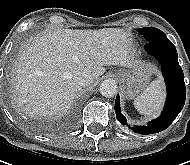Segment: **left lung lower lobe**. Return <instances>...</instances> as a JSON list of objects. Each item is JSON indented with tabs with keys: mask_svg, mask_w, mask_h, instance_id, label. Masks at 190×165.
Returning <instances> with one entry per match:
<instances>
[{
	"mask_svg": "<svg viewBox=\"0 0 190 165\" xmlns=\"http://www.w3.org/2000/svg\"><path fill=\"white\" fill-rule=\"evenodd\" d=\"M148 54L154 56L159 64L167 87V99L161 115L145 126H135L133 131L139 134L158 133L168 128L182 110L185 98L184 74L178 63V54L175 46L167 37L159 38L145 45ZM115 113L122 125H127L125 116L120 110V99L115 100Z\"/></svg>",
	"mask_w": 190,
	"mask_h": 165,
	"instance_id": "obj_1",
	"label": "left lung lower lobe"
}]
</instances>
